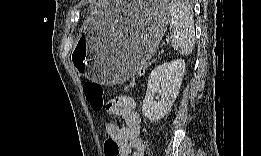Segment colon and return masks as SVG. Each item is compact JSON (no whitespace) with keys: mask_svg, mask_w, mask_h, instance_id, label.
Instances as JSON below:
<instances>
[{"mask_svg":"<svg viewBox=\"0 0 261 156\" xmlns=\"http://www.w3.org/2000/svg\"><path fill=\"white\" fill-rule=\"evenodd\" d=\"M84 95L90 107L94 111H100L104 107V90L96 82H87L83 86ZM106 156H120L121 150L118 143L112 138H107L104 143Z\"/></svg>","mask_w":261,"mask_h":156,"instance_id":"1","label":"colon"}]
</instances>
